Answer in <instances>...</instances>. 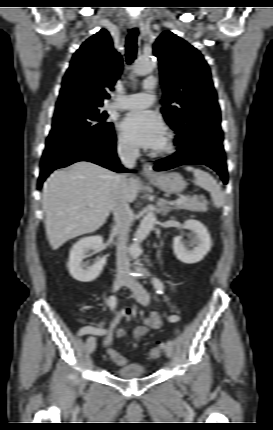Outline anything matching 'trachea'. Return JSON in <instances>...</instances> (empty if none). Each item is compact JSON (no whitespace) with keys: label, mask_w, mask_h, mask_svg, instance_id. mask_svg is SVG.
Returning a JSON list of instances; mask_svg holds the SVG:
<instances>
[{"label":"trachea","mask_w":273,"mask_h":430,"mask_svg":"<svg viewBox=\"0 0 273 430\" xmlns=\"http://www.w3.org/2000/svg\"><path fill=\"white\" fill-rule=\"evenodd\" d=\"M137 35L138 30L136 28L129 30V34L126 39V61L128 64H131L134 61L137 53Z\"/></svg>","instance_id":"obj_1"}]
</instances>
